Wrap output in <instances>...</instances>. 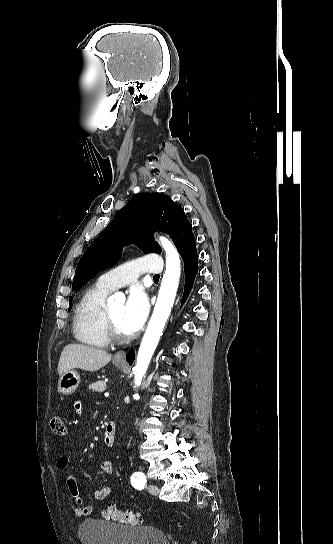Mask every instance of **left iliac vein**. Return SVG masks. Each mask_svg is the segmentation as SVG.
Returning <instances> with one entry per match:
<instances>
[{"label": "left iliac vein", "mask_w": 333, "mask_h": 544, "mask_svg": "<svg viewBox=\"0 0 333 544\" xmlns=\"http://www.w3.org/2000/svg\"><path fill=\"white\" fill-rule=\"evenodd\" d=\"M147 490L150 494L152 495H157L159 493V488L158 486L154 485V484H150L148 485L147 487Z\"/></svg>", "instance_id": "1"}]
</instances>
